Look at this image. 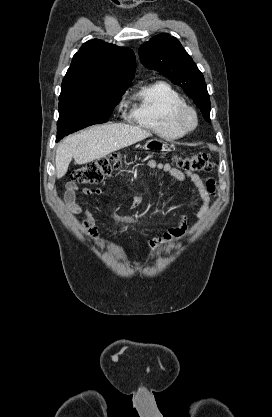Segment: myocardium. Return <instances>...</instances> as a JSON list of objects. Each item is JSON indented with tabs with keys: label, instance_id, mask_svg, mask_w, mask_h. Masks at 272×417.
Here are the masks:
<instances>
[{
	"label": "myocardium",
	"instance_id": "1",
	"mask_svg": "<svg viewBox=\"0 0 272 417\" xmlns=\"http://www.w3.org/2000/svg\"><path fill=\"white\" fill-rule=\"evenodd\" d=\"M172 121L174 126L182 133H188L197 127L198 114L193 107L184 104L174 110Z\"/></svg>",
	"mask_w": 272,
	"mask_h": 417
}]
</instances>
